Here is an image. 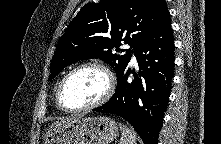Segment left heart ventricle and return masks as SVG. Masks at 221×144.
Segmentation results:
<instances>
[{"instance_id":"obj_1","label":"left heart ventricle","mask_w":221,"mask_h":144,"mask_svg":"<svg viewBox=\"0 0 221 144\" xmlns=\"http://www.w3.org/2000/svg\"><path fill=\"white\" fill-rule=\"evenodd\" d=\"M106 76L96 68L77 71L66 83L63 99L69 107H82L97 101L106 91Z\"/></svg>"}]
</instances>
